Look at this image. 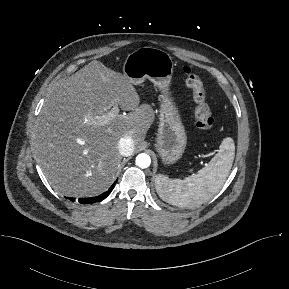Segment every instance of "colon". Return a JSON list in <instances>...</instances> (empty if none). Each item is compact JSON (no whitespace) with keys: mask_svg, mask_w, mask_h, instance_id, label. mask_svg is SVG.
I'll list each match as a JSON object with an SVG mask.
<instances>
[{"mask_svg":"<svg viewBox=\"0 0 289 289\" xmlns=\"http://www.w3.org/2000/svg\"><path fill=\"white\" fill-rule=\"evenodd\" d=\"M183 70L186 74V85L191 90L195 103L196 125L201 131L210 132L214 124V117L206 100L203 83L199 76L193 73L188 66H185Z\"/></svg>","mask_w":289,"mask_h":289,"instance_id":"1","label":"colon"}]
</instances>
